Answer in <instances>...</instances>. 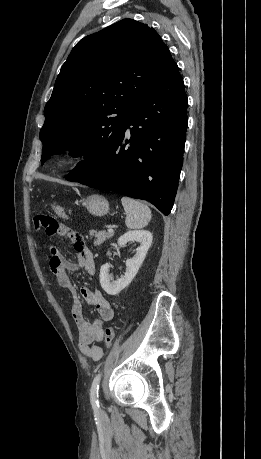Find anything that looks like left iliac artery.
<instances>
[{
	"label": "left iliac artery",
	"instance_id": "44dca946",
	"mask_svg": "<svg viewBox=\"0 0 261 459\" xmlns=\"http://www.w3.org/2000/svg\"><path fill=\"white\" fill-rule=\"evenodd\" d=\"M101 380V373H98L96 377L94 378L90 390V400L93 408L98 409L99 408V384Z\"/></svg>",
	"mask_w": 261,
	"mask_h": 459
}]
</instances>
